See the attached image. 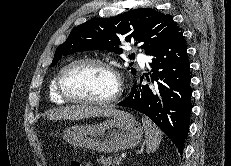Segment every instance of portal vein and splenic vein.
<instances>
[{
    "label": "portal vein and splenic vein",
    "mask_w": 231,
    "mask_h": 166,
    "mask_svg": "<svg viewBox=\"0 0 231 166\" xmlns=\"http://www.w3.org/2000/svg\"><path fill=\"white\" fill-rule=\"evenodd\" d=\"M123 157H124L123 155L121 157H118V160H122Z\"/></svg>",
    "instance_id": "1"
}]
</instances>
